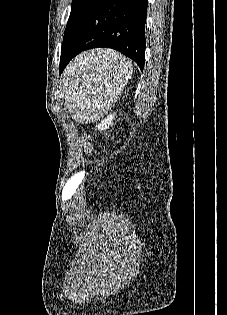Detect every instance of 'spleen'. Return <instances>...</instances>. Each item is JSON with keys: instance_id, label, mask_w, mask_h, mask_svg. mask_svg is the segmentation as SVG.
<instances>
[{"instance_id": "1", "label": "spleen", "mask_w": 227, "mask_h": 315, "mask_svg": "<svg viewBox=\"0 0 227 315\" xmlns=\"http://www.w3.org/2000/svg\"><path fill=\"white\" fill-rule=\"evenodd\" d=\"M130 60L113 50L79 55L64 73L62 93L72 117L95 122L114 105L131 77Z\"/></svg>"}]
</instances>
